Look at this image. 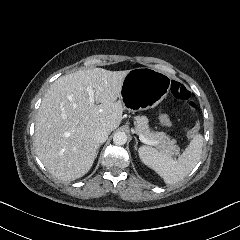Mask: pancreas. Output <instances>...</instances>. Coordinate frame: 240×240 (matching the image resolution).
Wrapping results in <instances>:
<instances>
[{"label":"pancreas","instance_id":"1","mask_svg":"<svg viewBox=\"0 0 240 240\" xmlns=\"http://www.w3.org/2000/svg\"><path fill=\"white\" fill-rule=\"evenodd\" d=\"M134 126L138 133L145 135V138L150 141V145L155 146L159 151L167 154L170 157L177 156L180 152V147L176 145V140H171L164 132L149 131L148 118L144 115L135 116Z\"/></svg>","mask_w":240,"mask_h":240}]
</instances>
